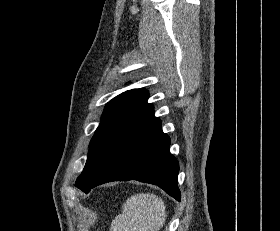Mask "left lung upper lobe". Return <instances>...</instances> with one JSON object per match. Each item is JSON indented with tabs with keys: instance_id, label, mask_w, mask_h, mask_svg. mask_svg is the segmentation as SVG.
<instances>
[{
	"instance_id": "5c2ea615",
	"label": "left lung upper lobe",
	"mask_w": 280,
	"mask_h": 231,
	"mask_svg": "<svg viewBox=\"0 0 280 231\" xmlns=\"http://www.w3.org/2000/svg\"><path fill=\"white\" fill-rule=\"evenodd\" d=\"M148 92L133 89L113 98L102 114L101 123L89 145V152L83 172L76 180V187L103 146L119 131L153 112L152 104L147 103Z\"/></svg>"
}]
</instances>
